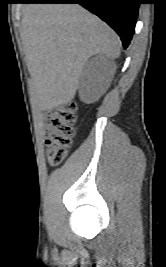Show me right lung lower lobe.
<instances>
[{
    "label": "right lung lower lobe",
    "instance_id": "right-lung-lower-lobe-1",
    "mask_svg": "<svg viewBox=\"0 0 166 267\" xmlns=\"http://www.w3.org/2000/svg\"><path fill=\"white\" fill-rule=\"evenodd\" d=\"M22 3H78L108 23L126 49L137 21L140 0H23Z\"/></svg>",
    "mask_w": 166,
    "mask_h": 267
}]
</instances>
